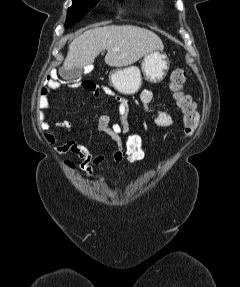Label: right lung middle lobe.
<instances>
[{
  "mask_svg": "<svg viewBox=\"0 0 240 287\" xmlns=\"http://www.w3.org/2000/svg\"><path fill=\"white\" fill-rule=\"evenodd\" d=\"M100 0H73V5L68 9L65 27H71L79 22Z\"/></svg>",
  "mask_w": 240,
  "mask_h": 287,
  "instance_id": "obj_1",
  "label": "right lung middle lobe"
}]
</instances>
